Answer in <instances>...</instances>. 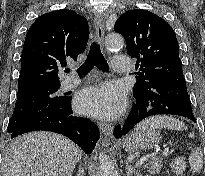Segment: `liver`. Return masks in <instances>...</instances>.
I'll use <instances>...</instances> for the list:
<instances>
[{"label":"liver","instance_id":"liver-1","mask_svg":"<svg viewBox=\"0 0 205 176\" xmlns=\"http://www.w3.org/2000/svg\"><path fill=\"white\" fill-rule=\"evenodd\" d=\"M81 155L62 135L30 132L11 141L3 157V176H72Z\"/></svg>","mask_w":205,"mask_h":176}]
</instances>
